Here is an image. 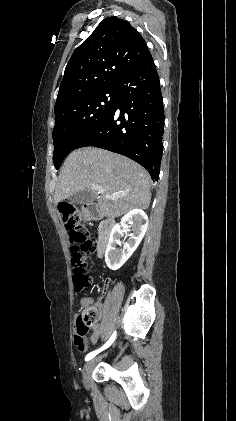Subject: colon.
<instances>
[{
	"label": "colon",
	"mask_w": 236,
	"mask_h": 421,
	"mask_svg": "<svg viewBox=\"0 0 236 421\" xmlns=\"http://www.w3.org/2000/svg\"><path fill=\"white\" fill-rule=\"evenodd\" d=\"M63 219L69 232L72 243L71 264L74 268L73 283L75 292L81 294L92 285L91 277L86 272V255L94 250V241L90 239L87 228L82 223L81 212L74 207L67 206L63 209ZM99 312L90 304H83L76 319V332L74 344L80 352L87 348L86 335L90 328L97 322Z\"/></svg>",
	"instance_id": "obj_1"
}]
</instances>
